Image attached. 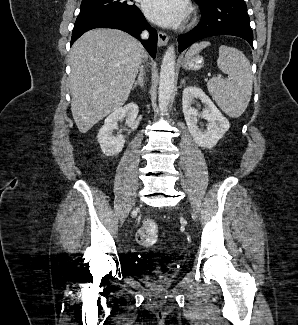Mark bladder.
Listing matches in <instances>:
<instances>
[{
	"label": "bladder",
	"mask_w": 298,
	"mask_h": 325,
	"mask_svg": "<svg viewBox=\"0 0 298 325\" xmlns=\"http://www.w3.org/2000/svg\"><path fill=\"white\" fill-rule=\"evenodd\" d=\"M176 275L174 273H169L158 278H152L147 280V284L153 290L163 291L167 289L175 280Z\"/></svg>",
	"instance_id": "bladder-1"
}]
</instances>
